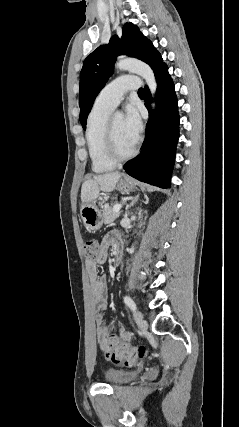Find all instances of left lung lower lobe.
<instances>
[{"label": "left lung lower lobe", "mask_w": 239, "mask_h": 427, "mask_svg": "<svg viewBox=\"0 0 239 427\" xmlns=\"http://www.w3.org/2000/svg\"><path fill=\"white\" fill-rule=\"evenodd\" d=\"M154 73L157 80L156 110L151 112V95L145 87V106L151 115L146 125V138L141 153L128 161L124 169L139 181L168 188L179 138V114L167 65L163 63Z\"/></svg>", "instance_id": "1"}]
</instances>
